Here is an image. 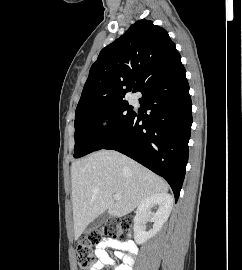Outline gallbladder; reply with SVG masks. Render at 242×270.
I'll return each instance as SVG.
<instances>
[{
  "instance_id": "bac80fb5",
  "label": "gallbladder",
  "mask_w": 242,
  "mask_h": 270,
  "mask_svg": "<svg viewBox=\"0 0 242 270\" xmlns=\"http://www.w3.org/2000/svg\"><path fill=\"white\" fill-rule=\"evenodd\" d=\"M110 218V214L108 211H105L103 213H101L94 221H92L88 227L86 228V232L89 233L92 230L103 226L104 224L107 223V221Z\"/></svg>"
}]
</instances>
